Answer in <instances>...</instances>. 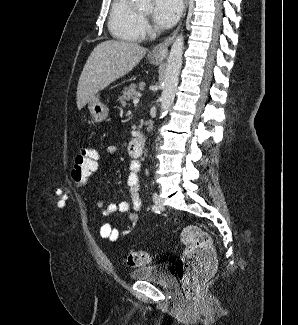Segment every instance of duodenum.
<instances>
[{
    "label": "duodenum",
    "mask_w": 298,
    "mask_h": 325,
    "mask_svg": "<svg viewBox=\"0 0 298 325\" xmlns=\"http://www.w3.org/2000/svg\"><path fill=\"white\" fill-rule=\"evenodd\" d=\"M145 146V138L142 134L134 136L128 145V150L131 156L140 157L143 154Z\"/></svg>",
    "instance_id": "1"
}]
</instances>
